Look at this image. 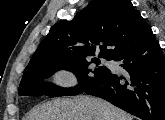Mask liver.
Listing matches in <instances>:
<instances>
[{
	"mask_svg": "<svg viewBox=\"0 0 165 120\" xmlns=\"http://www.w3.org/2000/svg\"><path fill=\"white\" fill-rule=\"evenodd\" d=\"M27 120H133V117L105 100L79 96L38 105Z\"/></svg>",
	"mask_w": 165,
	"mask_h": 120,
	"instance_id": "liver-1",
	"label": "liver"
}]
</instances>
